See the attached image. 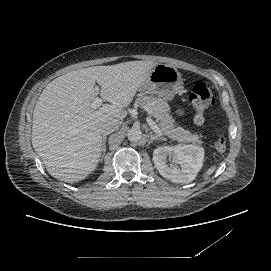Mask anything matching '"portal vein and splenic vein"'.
Wrapping results in <instances>:
<instances>
[{"label":"portal vein and splenic vein","mask_w":271,"mask_h":271,"mask_svg":"<svg viewBox=\"0 0 271 271\" xmlns=\"http://www.w3.org/2000/svg\"><path fill=\"white\" fill-rule=\"evenodd\" d=\"M100 87L97 85L94 87V93L97 95L100 93ZM103 103V99L101 97H95L94 98V101L92 102V105L95 106V107H99L101 106ZM151 128L152 130L158 135V136H161V137H164L165 134L164 132L154 123V122H151Z\"/></svg>","instance_id":"18ae733b"}]
</instances>
